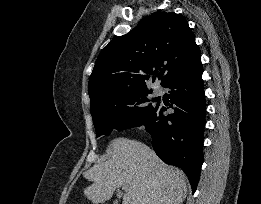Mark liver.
Masks as SVG:
<instances>
[{
  "mask_svg": "<svg viewBox=\"0 0 261 204\" xmlns=\"http://www.w3.org/2000/svg\"><path fill=\"white\" fill-rule=\"evenodd\" d=\"M109 158L85 172L93 182L84 190L88 200L102 203L128 186L122 204H182L187 196L185 174L165 164L144 143L119 137L108 146Z\"/></svg>",
  "mask_w": 261,
  "mask_h": 204,
  "instance_id": "1",
  "label": "liver"
}]
</instances>
